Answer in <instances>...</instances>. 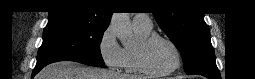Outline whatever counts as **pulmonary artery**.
<instances>
[{"label": "pulmonary artery", "mask_w": 255, "mask_h": 79, "mask_svg": "<svg viewBox=\"0 0 255 79\" xmlns=\"http://www.w3.org/2000/svg\"><path fill=\"white\" fill-rule=\"evenodd\" d=\"M133 26L144 28V29H151L152 22L149 19L147 14H137L133 18Z\"/></svg>", "instance_id": "obj_1"}]
</instances>
